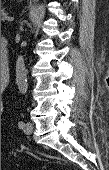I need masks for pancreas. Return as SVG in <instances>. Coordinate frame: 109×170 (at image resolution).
<instances>
[{
  "instance_id": "cf45deb5",
  "label": "pancreas",
  "mask_w": 109,
  "mask_h": 170,
  "mask_svg": "<svg viewBox=\"0 0 109 170\" xmlns=\"http://www.w3.org/2000/svg\"><path fill=\"white\" fill-rule=\"evenodd\" d=\"M4 16H7V13L4 9H1V20L3 21Z\"/></svg>"
}]
</instances>
